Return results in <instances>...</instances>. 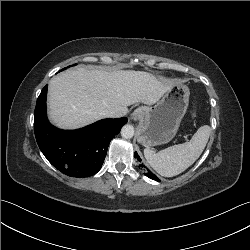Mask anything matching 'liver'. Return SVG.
<instances>
[{
  "instance_id": "liver-1",
  "label": "liver",
  "mask_w": 250,
  "mask_h": 250,
  "mask_svg": "<svg viewBox=\"0 0 250 250\" xmlns=\"http://www.w3.org/2000/svg\"><path fill=\"white\" fill-rule=\"evenodd\" d=\"M176 81L134 70L104 71L78 67L49 83V118L58 127L75 129L115 110L125 116L135 103L153 105Z\"/></svg>"
}]
</instances>
